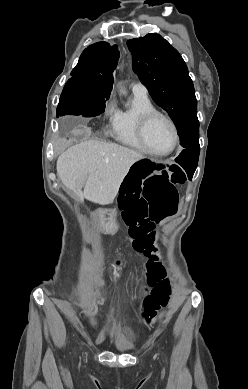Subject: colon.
I'll return each instance as SVG.
<instances>
[{"label":"colon","instance_id":"obj_1","mask_svg":"<svg viewBox=\"0 0 248 389\" xmlns=\"http://www.w3.org/2000/svg\"><path fill=\"white\" fill-rule=\"evenodd\" d=\"M185 182V174L176 161H152L151 157H140L124 175L117 194L122 216L129 217V234L133 249L149 256L146 264V281L153 290L144 300L143 320L151 326L159 319V310L171 298V288L156 263L154 229L166 217L177 211V186Z\"/></svg>","mask_w":248,"mask_h":389}]
</instances>
